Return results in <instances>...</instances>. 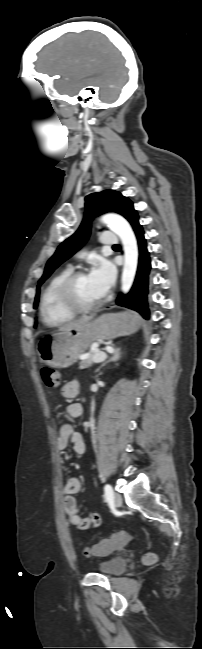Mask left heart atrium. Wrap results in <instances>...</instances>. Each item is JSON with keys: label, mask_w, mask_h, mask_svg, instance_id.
I'll list each match as a JSON object with an SVG mask.
<instances>
[{"label": "left heart atrium", "mask_w": 202, "mask_h": 649, "mask_svg": "<svg viewBox=\"0 0 202 649\" xmlns=\"http://www.w3.org/2000/svg\"><path fill=\"white\" fill-rule=\"evenodd\" d=\"M115 276L116 270L114 265L104 258L95 259L88 273L90 282L101 295H105L111 288L115 281Z\"/></svg>", "instance_id": "1"}]
</instances>
